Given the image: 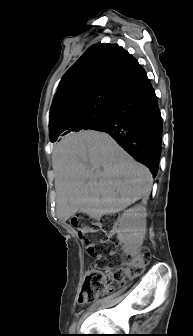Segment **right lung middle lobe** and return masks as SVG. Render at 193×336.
Segmentation results:
<instances>
[{"instance_id":"1","label":"right lung middle lobe","mask_w":193,"mask_h":336,"mask_svg":"<svg viewBox=\"0 0 193 336\" xmlns=\"http://www.w3.org/2000/svg\"><path fill=\"white\" fill-rule=\"evenodd\" d=\"M109 110L110 108H104L79 116L75 120L74 130L80 131L82 129H101L105 125L109 115Z\"/></svg>"}]
</instances>
